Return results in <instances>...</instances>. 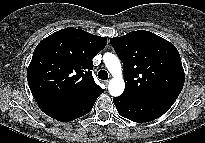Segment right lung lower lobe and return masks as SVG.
<instances>
[{
  "label": "right lung lower lobe",
  "mask_w": 205,
  "mask_h": 143,
  "mask_svg": "<svg viewBox=\"0 0 205 143\" xmlns=\"http://www.w3.org/2000/svg\"><path fill=\"white\" fill-rule=\"evenodd\" d=\"M96 92L83 102L71 107L58 106H39L40 109L48 116L62 122L73 121L79 117L86 115L93 107L98 96L103 93Z\"/></svg>",
  "instance_id": "obj_1"
}]
</instances>
